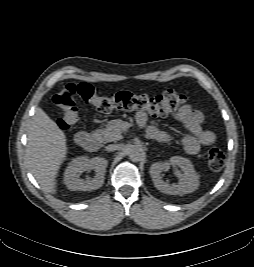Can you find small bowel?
Wrapping results in <instances>:
<instances>
[{
  "label": "small bowel",
  "mask_w": 254,
  "mask_h": 267,
  "mask_svg": "<svg viewBox=\"0 0 254 267\" xmlns=\"http://www.w3.org/2000/svg\"><path fill=\"white\" fill-rule=\"evenodd\" d=\"M137 119L141 124L146 123V115L144 113H139ZM175 119L189 131V134L183 136L181 140L187 153L196 155L199 153L201 146H208L215 142V134L203 128V114L194 109L190 104L182 106L176 112ZM146 133L149 138L160 143H167L171 140L169 133L156 126H148Z\"/></svg>",
  "instance_id": "small-bowel-1"
}]
</instances>
